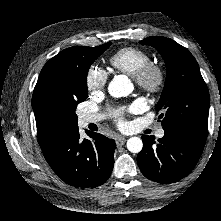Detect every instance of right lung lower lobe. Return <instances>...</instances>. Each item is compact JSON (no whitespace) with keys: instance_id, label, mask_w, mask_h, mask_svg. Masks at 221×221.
Here are the masks:
<instances>
[{"instance_id":"right-lung-lower-lobe-1","label":"right lung lower lobe","mask_w":221,"mask_h":221,"mask_svg":"<svg viewBox=\"0 0 221 221\" xmlns=\"http://www.w3.org/2000/svg\"><path fill=\"white\" fill-rule=\"evenodd\" d=\"M80 139L78 126L64 130L41 147L53 171L76 188H94L110 177L116 144L102 134L86 132Z\"/></svg>"}]
</instances>
